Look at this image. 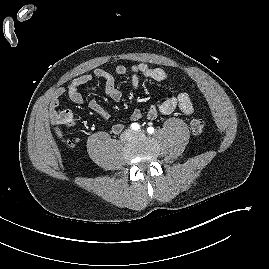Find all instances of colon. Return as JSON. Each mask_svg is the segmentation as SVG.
Returning <instances> with one entry per match:
<instances>
[{"mask_svg":"<svg viewBox=\"0 0 269 269\" xmlns=\"http://www.w3.org/2000/svg\"><path fill=\"white\" fill-rule=\"evenodd\" d=\"M73 122V116L72 114H69V113H65L63 116H62V125L64 126H69L71 125ZM190 128H191V131L196 134V135H199L201 134L203 131H204V128H205V122L203 119L201 118H193L190 122Z\"/></svg>","mask_w":269,"mask_h":269,"instance_id":"1","label":"colon"}]
</instances>
